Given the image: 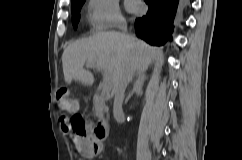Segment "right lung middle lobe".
Listing matches in <instances>:
<instances>
[{
    "label": "right lung middle lobe",
    "instance_id": "obj_1",
    "mask_svg": "<svg viewBox=\"0 0 242 160\" xmlns=\"http://www.w3.org/2000/svg\"><path fill=\"white\" fill-rule=\"evenodd\" d=\"M85 0H74L72 1L71 11H72V20L74 28H77V22L80 18V9L84 4Z\"/></svg>",
    "mask_w": 242,
    "mask_h": 160
}]
</instances>
